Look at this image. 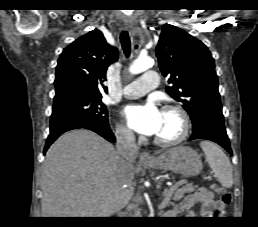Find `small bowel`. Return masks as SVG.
<instances>
[{
    "mask_svg": "<svg viewBox=\"0 0 258 227\" xmlns=\"http://www.w3.org/2000/svg\"><path fill=\"white\" fill-rule=\"evenodd\" d=\"M201 204L199 215L201 217H210L215 212H223L224 204L221 201L214 199L212 192L206 189H201L193 194L186 196L174 209V214L186 213L190 217H195L196 213L193 207Z\"/></svg>",
    "mask_w": 258,
    "mask_h": 227,
    "instance_id": "obj_1",
    "label": "small bowel"
}]
</instances>
